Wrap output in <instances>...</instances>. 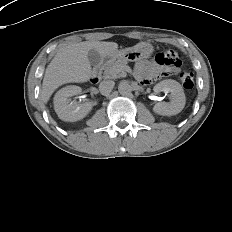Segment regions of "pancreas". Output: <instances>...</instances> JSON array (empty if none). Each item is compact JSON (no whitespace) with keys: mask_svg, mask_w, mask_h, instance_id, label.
Wrapping results in <instances>:
<instances>
[{"mask_svg":"<svg viewBox=\"0 0 232 232\" xmlns=\"http://www.w3.org/2000/svg\"><path fill=\"white\" fill-rule=\"evenodd\" d=\"M127 64L125 60H109L104 65L101 66L103 72V77L106 79H116L119 77L120 72L123 67Z\"/></svg>","mask_w":232,"mask_h":232,"instance_id":"pancreas-1","label":"pancreas"}]
</instances>
